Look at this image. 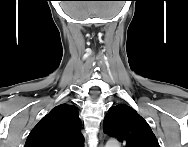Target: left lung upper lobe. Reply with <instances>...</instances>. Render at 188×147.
<instances>
[{"mask_svg": "<svg viewBox=\"0 0 188 147\" xmlns=\"http://www.w3.org/2000/svg\"><path fill=\"white\" fill-rule=\"evenodd\" d=\"M103 127L106 134L117 138L124 147H159L148 123L128 105L111 107Z\"/></svg>", "mask_w": 188, "mask_h": 147, "instance_id": "1", "label": "left lung upper lobe"}]
</instances>
